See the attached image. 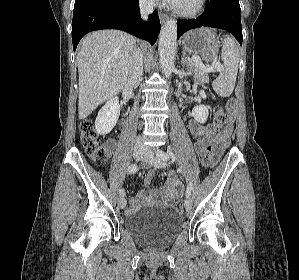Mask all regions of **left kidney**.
<instances>
[{
    "mask_svg": "<svg viewBox=\"0 0 299 280\" xmlns=\"http://www.w3.org/2000/svg\"><path fill=\"white\" fill-rule=\"evenodd\" d=\"M200 95L203 99H206L207 97L203 90L200 91ZM192 115L197 122L205 123L207 121L209 112L205 105H197L192 109Z\"/></svg>",
    "mask_w": 299,
    "mask_h": 280,
    "instance_id": "5707ae66",
    "label": "left kidney"
}]
</instances>
